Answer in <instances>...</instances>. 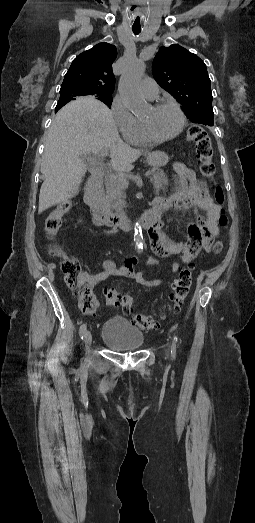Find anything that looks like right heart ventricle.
<instances>
[{"instance_id":"obj_1","label":"right heart ventricle","mask_w":255,"mask_h":523,"mask_svg":"<svg viewBox=\"0 0 255 523\" xmlns=\"http://www.w3.org/2000/svg\"><path fill=\"white\" fill-rule=\"evenodd\" d=\"M127 140L131 144L134 145H141L146 144L148 141L144 138L141 130V123L140 120L136 118V123L133 129L130 131V133L127 135Z\"/></svg>"}]
</instances>
